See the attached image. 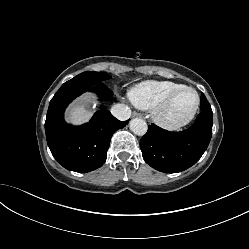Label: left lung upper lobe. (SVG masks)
I'll list each match as a JSON object with an SVG mask.
<instances>
[{"label":"left lung upper lobe","mask_w":249,"mask_h":249,"mask_svg":"<svg viewBox=\"0 0 249 249\" xmlns=\"http://www.w3.org/2000/svg\"><path fill=\"white\" fill-rule=\"evenodd\" d=\"M200 101H201V100H200ZM200 110L203 111V110H212V109H211V106H210V104H209V102H208V104L206 105V107H202V106L200 105Z\"/></svg>","instance_id":"obj_1"}]
</instances>
